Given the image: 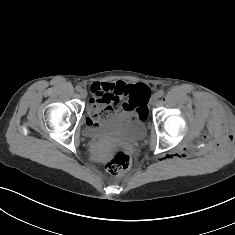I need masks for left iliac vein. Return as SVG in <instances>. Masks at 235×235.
Returning <instances> with one entry per match:
<instances>
[{"mask_svg":"<svg viewBox=\"0 0 235 235\" xmlns=\"http://www.w3.org/2000/svg\"><path fill=\"white\" fill-rule=\"evenodd\" d=\"M157 101H158V96H157V94H153V95L151 96V99H150V104H151V106H154V105L157 103Z\"/></svg>","mask_w":235,"mask_h":235,"instance_id":"4c4485c4","label":"left iliac vein"}]
</instances>
